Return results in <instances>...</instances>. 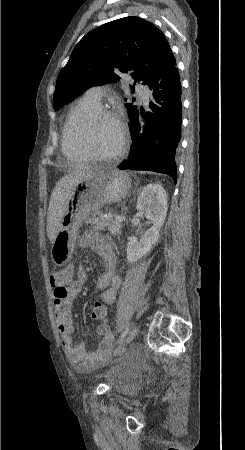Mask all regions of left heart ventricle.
Listing matches in <instances>:
<instances>
[{
  "label": "left heart ventricle",
  "instance_id": "b2bd125f",
  "mask_svg": "<svg viewBox=\"0 0 245 450\" xmlns=\"http://www.w3.org/2000/svg\"><path fill=\"white\" fill-rule=\"evenodd\" d=\"M76 129L82 136H85V127L82 122L76 124ZM88 141L92 149L100 155L114 152L121 141L119 125L111 120L99 121L89 134Z\"/></svg>",
  "mask_w": 245,
  "mask_h": 450
}]
</instances>
